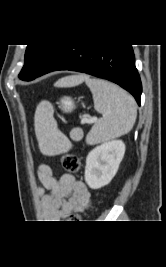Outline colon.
<instances>
[{"mask_svg": "<svg viewBox=\"0 0 166 267\" xmlns=\"http://www.w3.org/2000/svg\"><path fill=\"white\" fill-rule=\"evenodd\" d=\"M61 163L63 168L69 173H76L79 171L81 162L79 158L72 153L64 154L61 158ZM74 219H79L78 216L73 217Z\"/></svg>", "mask_w": 166, "mask_h": 267, "instance_id": "1", "label": "colon"}]
</instances>
